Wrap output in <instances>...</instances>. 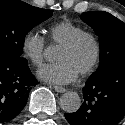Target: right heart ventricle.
I'll use <instances>...</instances> for the list:
<instances>
[{"label":"right heart ventricle","mask_w":125,"mask_h":125,"mask_svg":"<svg viewBox=\"0 0 125 125\" xmlns=\"http://www.w3.org/2000/svg\"><path fill=\"white\" fill-rule=\"evenodd\" d=\"M82 31H84V29L79 25L69 20H64L49 28V36L53 44L61 45Z\"/></svg>","instance_id":"e07e8e85"}]
</instances>
